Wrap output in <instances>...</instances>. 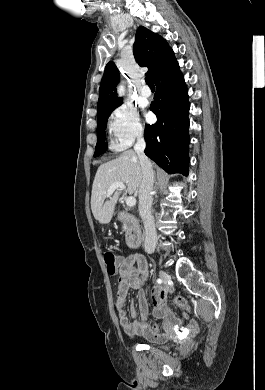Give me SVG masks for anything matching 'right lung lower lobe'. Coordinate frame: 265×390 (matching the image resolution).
Instances as JSON below:
<instances>
[{"mask_svg": "<svg viewBox=\"0 0 265 390\" xmlns=\"http://www.w3.org/2000/svg\"><path fill=\"white\" fill-rule=\"evenodd\" d=\"M154 82L157 88L150 110L157 116V122L145 126V154L167 173L187 176L190 106L178 63Z\"/></svg>", "mask_w": 265, "mask_h": 390, "instance_id": "obj_1", "label": "right lung lower lobe"}]
</instances>
